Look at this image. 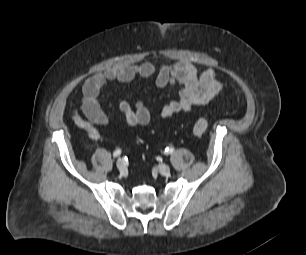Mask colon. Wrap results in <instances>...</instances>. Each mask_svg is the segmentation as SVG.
<instances>
[{
  "label": "colon",
  "mask_w": 306,
  "mask_h": 255,
  "mask_svg": "<svg viewBox=\"0 0 306 255\" xmlns=\"http://www.w3.org/2000/svg\"><path fill=\"white\" fill-rule=\"evenodd\" d=\"M209 126V122L207 119L203 117H199L195 120L193 124V133L200 137L205 134Z\"/></svg>",
  "instance_id": "1"
}]
</instances>
